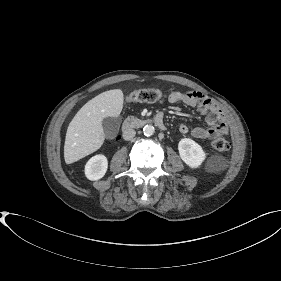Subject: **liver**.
Segmentation results:
<instances>
[{
  "label": "liver",
  "mask_w": 281,
  "mask_h": 281,
  "mask_svg": "<svg viewBox=\"0 0 281 281\" xmlns=\"http://www.w3.org/2000/svg\"><path fill=\"white\" fill-rule=\"evenodd\" d=\"M123 103L122 90L113 89L92 98L76 113L66 132V164L74 163L102 146L105 140L102 121L106 117H118Z\"/></svg>",
  "instance_id": "liver-1"
}]
</instances>
